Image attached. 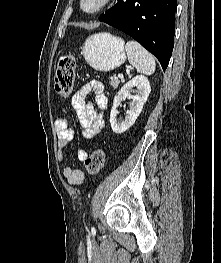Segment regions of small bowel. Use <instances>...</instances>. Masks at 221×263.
I'll use <instances>...</instances> for the list:
<instances>
[{
  "label": "small bowel",
  "mask_w": 221,
  "mask_h": 263,
  "mask_svg": "<svg viewBox=\"0 0 221 263\" xmlns=\"http://www.w3.org/2000/svg\"><path fill=\"white\" fill-rule=\"evenodd\" d=\"M94 94V102L100 110H96L94 105L86 101V97ZM72 106L83 127V134L86 138H92L100 134L104 127L103 111L107 106V98L104 94V85L98 80H91L83 85L73 96ZM55 128L58 134L59 163L63 162V149L72 144L75 133L65 118H58L55 121ZM88 152L85 149L78 151V159L83 161L87 158ZM63 175L70 184L79 185L84 180V173L71 165L64 167Z\"/></svg>",
  "instance_id": "obj_1"
}]
</instances>
